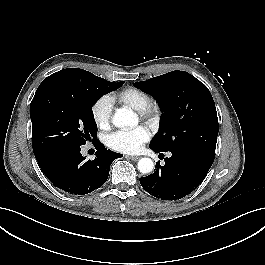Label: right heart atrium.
Listing matches in <instances>:
<instances>
[{
  "label": "right heart atrium",
  "instance_id": "obj_1",
  "mask_svg": "<svg viewBox=\"0 0 265 265\" xmlns=\"http://www.w3.org/2000/svg\"><path fill=\"white\" fill-rule=\"evenodd\" d=\"M113 100L110 96L104 95L98 98L91 107V115L95 124L106 129L112 122Z\"/></svg>",
  "mask_w": 265,
  "mask_h": 265
}]
</instances>
